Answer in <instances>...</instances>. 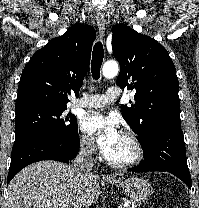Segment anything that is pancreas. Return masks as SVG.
Masks as SVG:
<instances>
[{
    "mask_svg": "<svg viewBox=\"0 0 199 208\" xmlns=\"http://www.w3.org/2000/svg\"><path fill=\"white\" fill-rule=\"evenodd\" d=\"M128 206L126 208H136L138 206L136 201L127 200Z\"/></svg>",
    "mask_w": 199,
    "mask_h": 208,
    "instance_id": "pancreas-1",
    "label": "pancreas"
}]
</instances>
